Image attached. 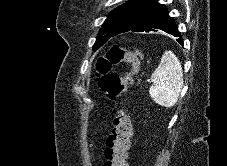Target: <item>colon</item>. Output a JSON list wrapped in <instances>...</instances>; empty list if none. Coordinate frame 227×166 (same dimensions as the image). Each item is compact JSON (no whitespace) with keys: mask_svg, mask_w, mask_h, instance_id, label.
Here are the masks:
<instances>
[{"mask_svg":"<svg viewBox=\"0 0 227 166\" xmlns=\"http://www.w3.org/2000/svg\"><path fill=\"white\" fill-rule=\"evenodd\" d=\"M126 63L131 66V72L120 75L112 72L115 64ZM142 57L131 50L113 44L109 50L98 58L96 71L99 86L109 101L114 104L129 87L132 76L141 67ZM132 124L127 112L120 106H115L113 130L106 140L104 150V166H127L128 151L132 140Z\"/></svg>","mask_w":227,"mask_h":166,"instance_id":"5ec220e1","label":"colon"}]
</instances>
